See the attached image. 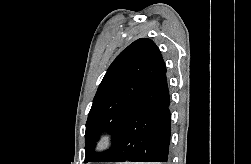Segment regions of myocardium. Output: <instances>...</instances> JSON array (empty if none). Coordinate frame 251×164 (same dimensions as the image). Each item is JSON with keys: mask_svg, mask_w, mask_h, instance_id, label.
Here are the masks:
<instances>
[{"mask_svg": "<svg viewBox=\"0 0 251 164\" xmlns=\"http://www.w3.org/2000/svg\"><path fill=\"white\" fill-rule=\"evenodd\" d=\"M116 134L111 130L102 131L94 141V151L98 154L109 152L116 145Z\"/></svg>", "mask_w": 251, "mask_h": 164, "instance_id": "obj_1", "label": "myocardium"}]
</instances>
